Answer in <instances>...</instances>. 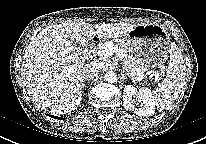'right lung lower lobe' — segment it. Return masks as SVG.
Instances as JSON below:
<instances>
[{"label":"right lung lower lobe","instance_id":"obj_1","mask_svg":"<svg viewBox=\"0 0 206 144\" xmlns=\"http://www.w3.org/2000/svg\"><path fill=\"white\" fill-rule=\"evenodd\" d=\"M52 118H55V119H62V118H60V117H57V116H53V115H50Z\"/></svg>","mask_w":206,"mask_h":144}]
</instances>
